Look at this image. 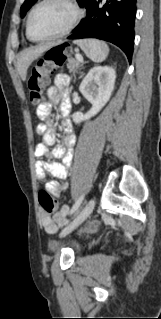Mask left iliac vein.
<instances>
[{"instance_id":"obj_1","label":"left iliac vein","mask_w":161,"mask_h":319,"mask_svg":"<svg viewBox=\"0 0 161 319\" xmlns=\"http://www.w3.org/2000/svg\"><path fill=\"white\" fill-rule=\"evenodd\" d=\"M95 207L94 199H91L81 212L72 220V222L67 225L61 232V236H66L71 233L75 228H77L82 222H84L90 214L93 212Z\"/></svg>"}]
</instances>
